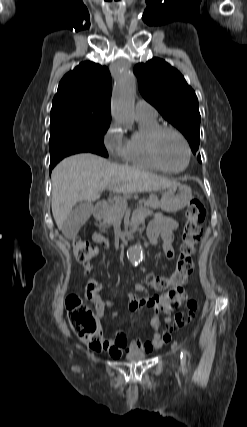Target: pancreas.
I'll return each instance as SVG.
<instances>
[{"label": "pancreas", "instance_id": "pancreas-1", "mask_svg": "<svg viewBox=\"0 0 247 427\" xmlns=\"http://www.w3.org/2000/svg\"><path fill=\"white\" fill-rule=\"evenodd\" d=\"M144 205L153 209L159 208L160 202L156 195H150ZM127 206V198L113 200L105 209L103 214V224L118 225Z\"/></svg>", "mask_w": 247, "mask_h": 427}]
</instances>
